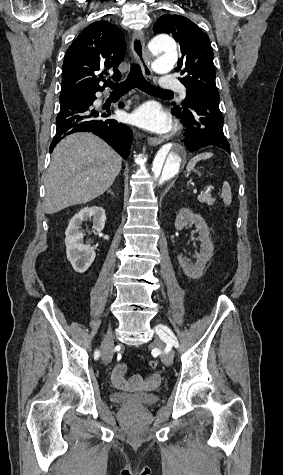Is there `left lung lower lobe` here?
I'll list each match as a JSON object with an SVG mask.
<instances>
[{"label":"left lung lower lobe","mask_w":283,"mask_h":475,"mask_svg":"<svg viewBox=\"0 0 283 475\" xmlns=\"http://www.w3.org/2000/svg\"><path fill=\"white\" fill-rule=\"evenodd\" d=\"M172 110L186 127L184 142L187 151L215 146L230 152V145L223 133L224 118L219 109V95L194 93L186 108L175 106Z\"/></svg>","instance_id":"left-lung-lower-lobe-1"}]
</instances>
